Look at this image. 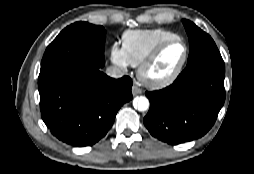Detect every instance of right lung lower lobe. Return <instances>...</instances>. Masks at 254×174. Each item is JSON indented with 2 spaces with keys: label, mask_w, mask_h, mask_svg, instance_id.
Masks as SVG:
<instances>
[{
  "label": "right lung lower lobe",
  "mask_w": 254,
  "mask_h": 174,
  "mask_svg": "<svg viewBox=\"0 0 254 174\" xmlns=\"http://www.w3.org/2000/svg\"><path fill=\"white\" fill-rule=\"evenodd\" d=\"M41 116L51 133L69 145L91 146L112 127L130 101L132 80L113 79L100 68H73L38 83Z\"/></svg>",
  "instance_id": "1"
}]
</instances>
